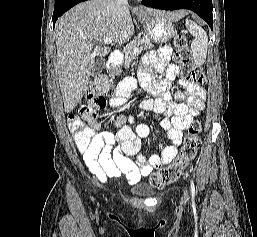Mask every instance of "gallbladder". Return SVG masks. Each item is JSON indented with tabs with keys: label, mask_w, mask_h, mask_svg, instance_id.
Listing matches in <instances>:
<instances>
[{
	"label": "gallbladder",
	"mask_w": 257,
	"mask_h": 237,
	"mask_svg": "<svg viewBox=\"0 0 257 237\" xmlns=\"http://www.w3.org/2000/svg\"><path fill=\"white\" fill-rule=\"evenodd\" d=\"M104 68V60L103 59H98L96 60V63L93 65L91 69V76L98 75L99 73L102 72Z\"/></svg>",
	"instance_id": "bac80fb5"
}]
</instances>
